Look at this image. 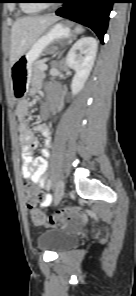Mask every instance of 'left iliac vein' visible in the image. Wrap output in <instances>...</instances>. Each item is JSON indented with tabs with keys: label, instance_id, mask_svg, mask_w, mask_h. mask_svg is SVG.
I'll return each mask as SVG.
<instances>
[{
	"label": "left iliac vein",
	"instance_id": "1",
	"mask_svg": "<svg viewBox=\"0 0 136 296\" xmlns=\"http://www.w3.org/2000/svg\"><path fill=\"white\" fill-rule=\"evenodd\" d=\"M64 196V182L59 180L56 185L55 196H54V205H58L61 199Z\"/></svg>",
	"mask_w": 136,
	"mask_h": 296
}]
</instances>
